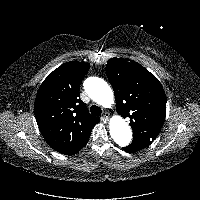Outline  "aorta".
<instances>
[{"label":"aorta","mask_w":200,"mask_h":200,"mask_svg":"<svg viewBox=\"0 0 200 200\" xmlns=\"http://www.w3.org/2000/svg\"><path fill=\"white\" fill-rule=\"evenodd\" d=\"M84 89L89 97L99 105L109 108L114 104V96L111 88L101 78L89 77L84 81ZM110 135L121 147L130 144L132 131L127 122L119 115L113 116L109 123Z\"/></svg>","instance_id":"762f6f07"}]
</instances>
